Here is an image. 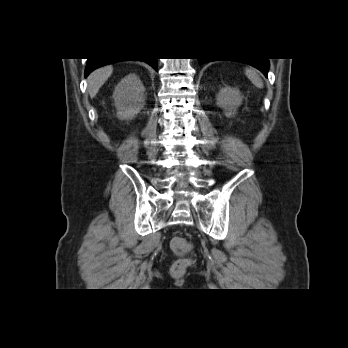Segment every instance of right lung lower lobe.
<instances>
[{"label":"right lung lower lobe","mask_w":348,"mask_h":348,"mask_svg":"<svg viewBox=\"0 0 348 348\" xmlns=\"http://www.w3.org/2000/svg\"><path fill=\"white\" fill-rule=\"evenodd\" d=\"M118 61H121V60H112V59H106V58H97V59L88 58L86 69H85V77H87L90 72H92L93 70L101 66L118 62ZM143 61H145L150 66H152L155 70H157V67H158L157 58H148Z\"/></svg>","instance_id":"obj_1"}]
</instances>
